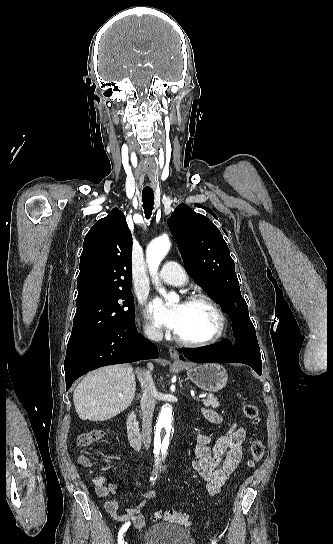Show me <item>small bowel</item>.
<instances>
[{
  "mask_svg": "<svg viewBox=\"0 0 333 544\" xmlns=\"http://www.w3.org/2000/svg\"><path fill=\"white\" fill-rule=\"evenodd\" d=\"M204 417L214 423L222 422V417L212 409L203 410ZM245 429L233 423L232 426L214 441L211 436L199 434L194 448L195 460L191 466L193 470L206 481V490L210 496L217 495L230 475L240 462L245 440ZM213 442V445L211 443ZM138 476L141 475L138 473ZM119 488L114 483L106 484L105 477L95 480L97 496L105 498L104 509L116 521L134 526L140 530L145 526V516L142 510L147 501L154 498L155 490L143 492L136 497L140 499L134 508L119 509V504L110 496L116 494Z\"/></svg>",
  "mask_w": 333,
  "mask_h": 544,
  "instance_id": "c3829d8e",
  "label": "small bowel"
}]
</instances>
